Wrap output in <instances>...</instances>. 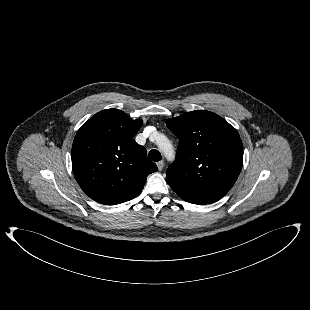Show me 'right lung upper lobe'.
<instances>
[{
	"label": "right lung upper lobe",
	"mask_w": 310,
	"mask_h": 310,
	"mask_svg": "<svg viewBox=\"0 0 310 310\" xmlns=\"http://www.w3.org/2000/svg\"><path fill=\"white\" fill-rule=\"evenodd\" d=\"M142 120L123 111L96 113L78 130L72 146V169L82 190L94 201L115 205L140 194L147 176L157 171L146 149L133 137Z\"/></svg>",
	"instance_id": "obj_1"
}]
</instances>
